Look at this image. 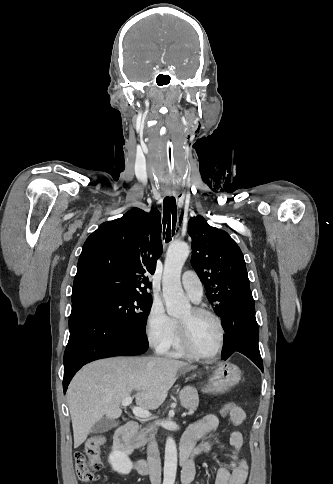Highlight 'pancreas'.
<instances>
[{"label": "pancreas", "mask_w": 333, "mask_h": 484, "mask_svg": "<svg viewBox=\"0 0 333 484\" xmlns=\"http://www.w3.org/2000/svg\"><path fill=\"white\" fill-rule=\"evenodd\" d=\"M181 405L189 411H194L199 405V397L197 390L193 387H184L180 392ZM190 414V413H189ZM145 431H140L136 436V441L139 445H143L146 442Z\"/></svg>", "instance_id": "cf45deb5"}]
</instances>
